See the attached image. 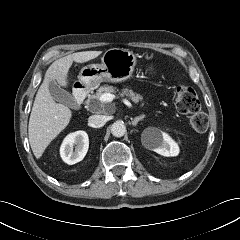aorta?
<instances>
[{
  "label": "aorta",
  "mask_w": 240,
  "mask_h": 240,
  "mask_svg": "<svg viewBox=\"0 0 240 240\" xmlns=\"http://www.w3.org/2000/svg\"><path fill=\"white\" fill-rule=\"evenodd\" d=\"M111 133L115 137H122L126 133V126L121 121H116L111 126Z\"/></svg>",
  "instance_id": "762f6f07"
}]
</instances>
